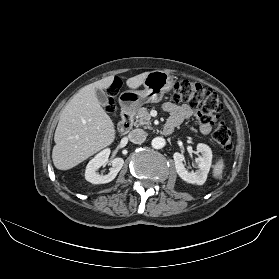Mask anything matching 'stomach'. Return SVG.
I'll use <instances>...</instances> for the list:
<instances>
[{
  "instance_id": "0dacf381",
  "label": "stomach",
  "mask_w": 279,
  "mask_h": 279,
  "mask_svg": "<svg viewBox=\"0 0 279 279\" xmlns=\"http://www.w3.org/2000/svg\"><path fill=\"white\" fill-rule=\"evenodd\" d=\"M144 89L125 91L119 97L121 108L125 112H135L145 103H157L164 94L172 89V77L160 70L149 72L143 82Z\"/></svg>"
}]
</instances>
